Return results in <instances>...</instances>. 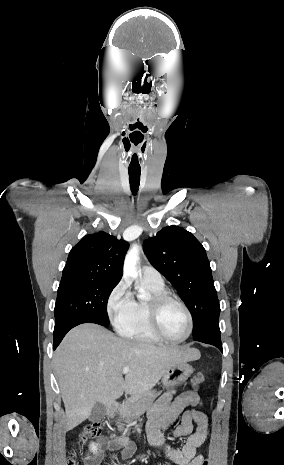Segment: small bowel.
Returning a JSON list of instances; mask_svg holds the SVG:
<instances>
[{
  "mask_svg": "<svg viewBox=\"0 0 284 465\" xmlns=\"http://www.w3.org/2000/svg\"><path fill=\"white\" fill-rule=\"evenodd\" d=\"M201 404V399L194 392L184 391L177 394L173 389L162 394L148 413V440L174 465H205L204 457L197 453L208 434L209 421L205 414L195 409L184 413L181 423L172 432L175 438L187 437L180 449H172L166 445L162 434V430L170 426L186 407ZM106 450L111 451L113 448L108 446ZM134 452L133 443L123 442L120 453L122 459H129Z\"/></svg>",
  "mask_w": 284,
  "mask_h": 465,
  "instance_id": "c3829d8e",
  "label": "small bowel"
}]
</instances>
